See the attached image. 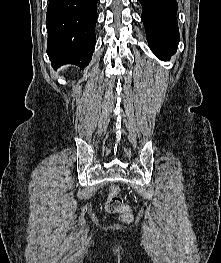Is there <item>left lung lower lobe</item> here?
I'll use <instances>...</instances> for the list:
<instances>
[{
    "label": "left lung lower lobe",
    "mask_w": 221,
    "mask_h": 263,
    "mask_svg": "<svg viewBox=\"0 0 221 263\" xmlns=\"http://www.w3.org/2000/svg\"><path fill=\"white\" fill-rule=\"evenodd\" d=\"M143 7V21L146 38L153 53L161 60H168L175 54L179 43L176 19V0H139Z\"/></svg>",
    "instance_id": "obj_1"
}]
</instances>
